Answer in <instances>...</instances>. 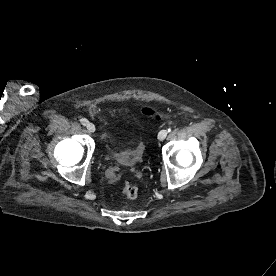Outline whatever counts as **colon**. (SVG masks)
Returning a JSON list of instances; mask_svg holds the SVG:
<instances>
[{"label": "colon", "mask_w": 276, "mask_h": 276, "mask_svg": "<svg viewBox=\"0 0 276 276\" xmlns=\"http://www.w3.org/2000/svg\"><path fill=\"white\" fill-rule=\"evenodd\" d=\"M142 113L146 117L152 118V119H155L157 117L169 118L172 116L171 113L161 114L153 108H143ZM122 193L128 199H135L138 196L139 191L137 186L134 185L133 183L125 182L122 185Z\"/></svg>", "instance_id": "1"}]
</instances>
